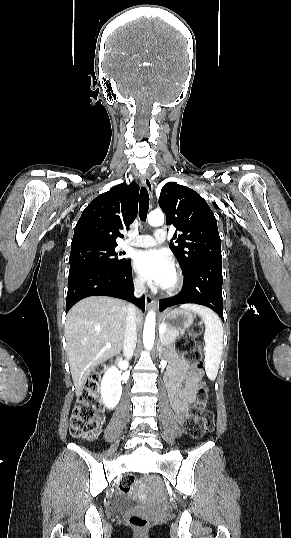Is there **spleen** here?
I'll return each mask as SVG.
<instances>
[{"label":"spleen","mask_w":291,"mask_h":538,"mask_svg":"<svg viewBox=\"0 0 291 538\" xmlns=\"http://www.w3.org/2000/svg\"><path fill=\"white\" fill-rule=\"evenodd\" d=\"M184 310L193 311L202 317L205 323V371L210 380H215L223 349V327L218 316L209 308L196 304H183Z\"/></svg>","instance_id":"spleen-1"}]
</instances>
